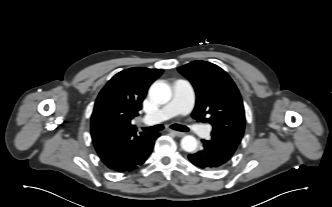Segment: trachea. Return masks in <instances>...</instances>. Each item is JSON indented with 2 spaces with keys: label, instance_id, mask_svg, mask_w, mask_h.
Segmentation results:
<instances>
[{
  "label": "trachea",
  "instance_id": "obj_1",
  "mask_svg": "<svg viewBox=\"0 0 332 207\" xmlns=\"http://www.w3.org/2000/svg\"><path fill=\"white\" fill-rule=\"evenodd\" d=\"M172 129L177 130V131H182V132H187L189 131V128L180 124H173L170 126ZM164 127L162 125H155L151 127H143L142 130L146 132H158L163 130Z\"/></svg>",
  "mask_w": 332,
  "mask_h": 207
}]
</instances>
